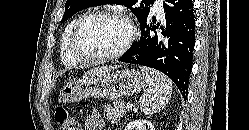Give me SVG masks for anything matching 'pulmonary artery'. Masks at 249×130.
<instances>
[{
	"label": "pulmonary artery",
	"instance_id": "pulmonary-artery-1",
	"mask_svg": "<svg viewBox=\"0 0 249 130\" xmlns=\"http://www.w3.org/2000/svg\"><path fill=\"white\" fill-rule=\"evenodd\" d=\"M153 9L160 15L163 14V4H162V0H155L154 5H153Z\"/></svg>",
	"mask_w": 249,
	"mask_h": 130
}]
</instances>
